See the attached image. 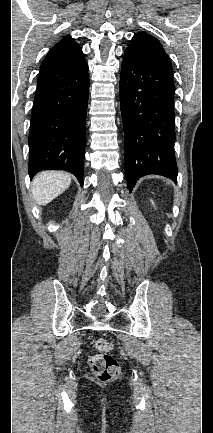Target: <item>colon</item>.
<instances>
[{"label":"colon","instance_id":"colon-1","mask_svg":"<svg viewBox=\"0 0 213 433\" xmlns=\"http://www.w3.org/2000/svg\"><path fill=\"white\" fill-rule=\"evenodd\" d=\"M95 349L100 353L92 355L88 359V365L96 378L108 381L119 374L117 360L109 354L113 343L105 338H99L94 343Z\"/></svg>","mask_w":213,"mask_h":433}]
</instances>
